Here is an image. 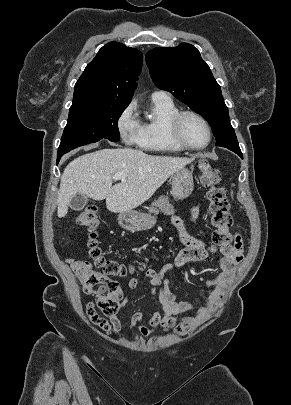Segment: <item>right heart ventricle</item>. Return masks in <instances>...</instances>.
I'll return each mask as SVG.
<instances>
[{
	"instance_id": "e07e8e85",
	"label": "right heart ventricle",
	"mask_w": 291,
	"mask_h": 405,
	"mask_svg": "<svg viewBox=\"0 0 291 405\" xmlns=\"http://www.w3.org/2000/svg\"><path fill=\"white\" fill-rule=\"evenodd\" d=\"M179 112L171 99H152L151 110L140 122L138 146L146 151L178 153L184 149L171 138L169 126L172 117Z\"/></svg>"
}]
</instances>
